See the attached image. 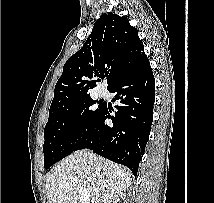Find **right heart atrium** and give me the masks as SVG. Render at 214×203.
Segmentation results:
<instances>
[{
  "label": "right heart atrium",
  "mask_w": 214,
  "mask_h": 203,
  "mask_svg": "<svg viewBox=\"0 0 214 203\" xmlns=\"http://www.w3.org/2000/svg\"><path fill=\"white\" fill-rule=\"evenodd\" d=\"M69 126L72 130L78 129L80 126V119L78 117H73L69 122Z\"/></svg>",
  "instance_id": "obj_1"
}]
</instances>
